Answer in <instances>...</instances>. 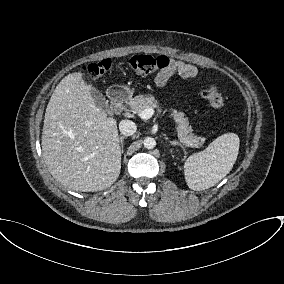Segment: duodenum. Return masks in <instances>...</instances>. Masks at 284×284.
<instances>
[{
  "label": "duodenum",
  "mask_w": 284,
  "mask_h": 284,
  "mask_svg": "<svg viewBox=\"0 0 284 284\" xmlns=\"http://www.w3.org/2000/svg\"><path fill=\"white\" fill-rule=\"evenodd\" d=\"M129 95V91L121 87H114L109 91L111 108L115 113L121 112L124 103L129 98Z\"/></svg>",
  "instance_id": "obj_1"
}]
</instances>
